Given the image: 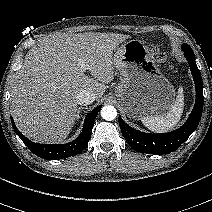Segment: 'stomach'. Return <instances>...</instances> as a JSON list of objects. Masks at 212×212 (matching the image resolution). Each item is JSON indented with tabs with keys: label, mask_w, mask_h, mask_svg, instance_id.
Returning <instances> with one entry per match:
<instances>
[{
	"label": "stomach",
	"mask_w": 212,
	"mask_h": 212,
	"mask_svg": "<svg viewBox=\"0 0 212 212\" xmlns=\"http://www.w3.org/2000/svg\"><path fill=\"white\" fill-rule=\"evenodd\" d=\"M120 82L114 95L128 117L165 116L175 101L173 85L158 69L147 46L129 40L117 48L113 57Z\"/></svg>",
	"instance_id": "1"
}]
</instances>
